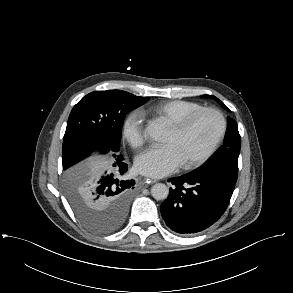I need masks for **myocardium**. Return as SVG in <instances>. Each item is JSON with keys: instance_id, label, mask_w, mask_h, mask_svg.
Wrapping results in <instances>:
<instances>
[{"instance_id": "obj_1", "label": "myocardium", "mask_w": 293, "mask_h": 293, "mask_svg": "<svg viewBox=\"0 0 293 293\" xmlns=\"http://www.w3.org/2000/svg\"><path fill=\"white\" fill-rule=\"evenodd\" d=\"M203 113L215 114L220 121V129H219V132L216 135L215 139L213 140V142L209 146V148L203 154H201L199 157H197L193 160L186 161L183 163L186 168H195V167H198V166L202 165L203 163H205L215 153V151L217 150L218 146L222 142V140L226 134V131H227V120H226L225 115L222 113V111H220L219 109L214 108V107H202L200 109H197V110L185 115L184 117L180 118L176 122L172 123L170 128L174 132L181 133L198 116H200Z\"/></svg>"}]
</instances>
